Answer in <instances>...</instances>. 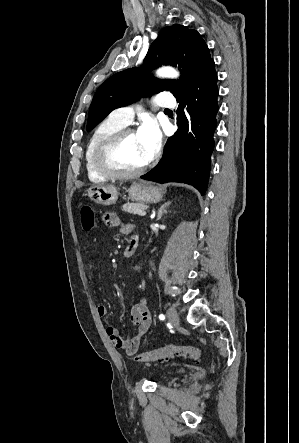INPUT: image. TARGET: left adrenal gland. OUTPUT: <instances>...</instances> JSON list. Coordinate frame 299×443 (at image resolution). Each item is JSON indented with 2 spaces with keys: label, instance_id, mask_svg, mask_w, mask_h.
<instances>
[{
  "label": "left adrenal gland",
  "instance_id": "obj_1",
  "mask_svg": "<svg viewBox=\"0 0 299 443\" xmlns=\"http://www.w3.org/2000/svg\"><path fill=\"white\" fill-rule=\"evenodd\" d=\"M171 204V202H165L160 206L157 212V221L161 219L162 215L167 213V207Z\"/></svg>",
  "mask_w": 299,
  "mask_h": 443
}]
</instances>
